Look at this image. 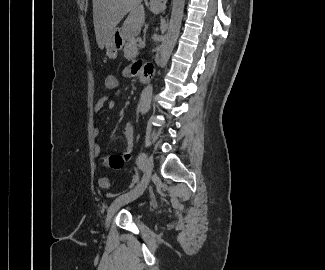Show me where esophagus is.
I'll return each mask as SVG.
<instances>
[{"mask_svg": "<svg viewBox=\"0 0 325 270\" xmlns=\"http://www.w3.org/2000/svg\"><path fill=\"white\" fill-rule=\"evenodd\" d=\"M167 1L168 0H150V7L162 11L166 8Z\"/></svg>", "mask_w": 325, "mask_h": 270, "instance_id": "obj_1", "label": "esophagus"}]
</instances>
